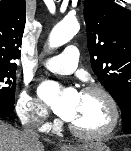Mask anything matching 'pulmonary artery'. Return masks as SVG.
Listing matches in <instances>:
<instances>
[{
  "mask_svg": "<svg viewBox=\"0 0 131 151\" xmlns=\"http://www.w3.org/2000/svg\"><path fill=\"white\" fill-rule=\"evenodd\" d=\"M78 58V48L75 45H69L61 54L49 58L45 65L52 72L70 74L76 69Z\"/></svg>",
  "mask_w": 131,
  "mask_h": 151,
  "instance_id": "e3ab8cb5",
  "label": "pulmonary artery"
}]
</instances>
